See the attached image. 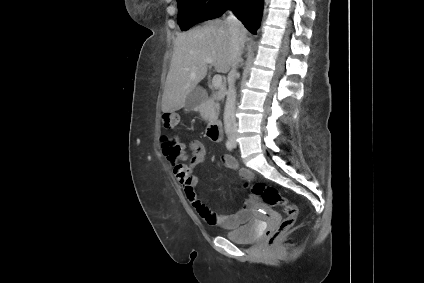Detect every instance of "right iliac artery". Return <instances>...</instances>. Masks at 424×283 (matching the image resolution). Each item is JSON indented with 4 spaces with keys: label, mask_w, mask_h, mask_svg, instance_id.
I'll list each match as a JSON object with an SVG mask.
<instances>
[{
    "label": "right iliac artery",
    "mask_w": 424,
    "mask_h": 283,
    "mask_svg": "<svg viewBox=\"0 0 424 283\" xmlns=\"http://www.w3.org/2000/svg\"><path fill=\"white\" fill-rule=\"evenodd\" d=\"M226 147L230 151L233 149V145H232L231 141H229V140L226 141Z\"/></svg>",
    "instance_id": "1"
}]
</instances>
